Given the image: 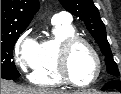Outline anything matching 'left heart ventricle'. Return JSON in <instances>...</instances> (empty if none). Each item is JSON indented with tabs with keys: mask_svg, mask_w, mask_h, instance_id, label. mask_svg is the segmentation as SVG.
Listing matches in <instances>:
<instances>
[{
	"mask_svg": "<svg viewBox=\"0 0 121 94\" xmlns=\"http://www.w3.org/2000/svg\"><path fill=\"white\" fill-rule=\"evenodd\" d=\"M96 61L90 50L81 43L76 44L70 53L69 70L77 83H88L96 74Z\"/></svg>",
	"mask_w": 121,
	"mask_h": 94,
	"instance_id": "1",
	"label": "left heart ventricle"
}]
</instances>
